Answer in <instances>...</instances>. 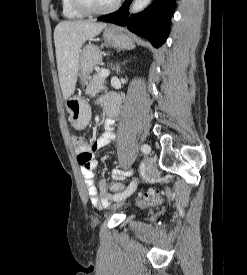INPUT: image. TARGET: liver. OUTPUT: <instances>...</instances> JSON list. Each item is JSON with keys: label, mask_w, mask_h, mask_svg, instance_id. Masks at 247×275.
Wrapping results in <instances>:
<instances>
[{"label": "liver", "mask_w": 247, "mask_h": 275, "mask_svg": "<svg viewBox=\"0 0 247 275\" xmlns=\"http://www.w3.org/2000/svg\"><path fill=\"white\" fill-rule=\"evenodd\" d=\"M106 23L62 21L54 30V43L59 82L64 100L75 91L81 47L88 39L101 33Z\"/></svg>", "instance_id": "1"}]
</instances>
